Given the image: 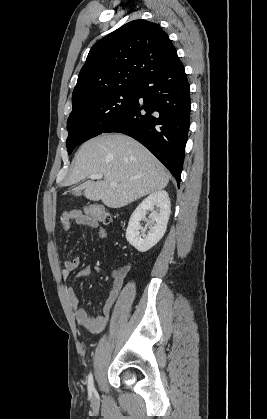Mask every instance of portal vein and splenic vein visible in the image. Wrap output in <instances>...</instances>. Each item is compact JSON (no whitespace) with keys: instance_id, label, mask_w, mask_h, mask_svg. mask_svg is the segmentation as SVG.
I'll use <instances>...</instances> for the list:
<instances>
[{"instance_id":"portal-vein-and-splenic-vein-1","label":"portal vein and splenic vein","mask_w":267,"mask_h":419,"mask_svg":"<svg viewBox=\"0 0 267 419\" xmlns=\"http://www.w3.org/2000/svg\"><path fill=\"white\" fill-rule=\"evenodd\" d=\"M103 177V174H93V175H90L89 176V178L90 179H92V180H95V179H101ZM112 187H115V186H117V183L116 182H111V184H110Z\"/></svg>"}]
</instances>
